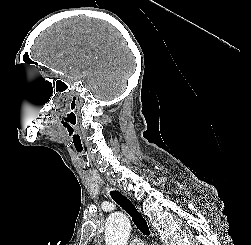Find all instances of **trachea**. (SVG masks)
<instances>
[{"instance_id": "trachea-1", "label": "trachea", "mask_w": 251, "mask_h": 245, "mask_svg": "<svg viewBox=\"0 0 251 245\" xmlns=\"http://www.w3.org/2000/svg\"><path fill=\"white\" fill-rule=\"evenodd\" d=\"M112 199L120 205L132 218V221L144 235L150 236V230L145 218L139 213L135 205L118 191H111Z\"/></svg>"}]
</instances>
